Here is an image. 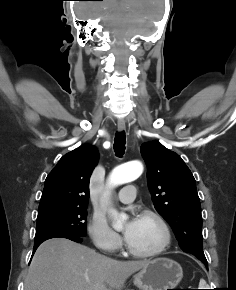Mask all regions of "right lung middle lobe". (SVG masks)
Listing matches in <instances>:
<instances>
[{
    "instance_id": "1",
    "label": "right lung middle lobe",
    "mask_w": 236,
    "mask_h": 290,
    "mask_svg": "<svg viewBox=\"0 0 236 290\" xmlns=\"http://www.w3.org/2000/svg\"><path fill=\"white\" fill-rule=\"evenodd\" d=\"M87 206H50L39 209L34 242L54 237H85Z\"/></svg>"
}]
</instances>
